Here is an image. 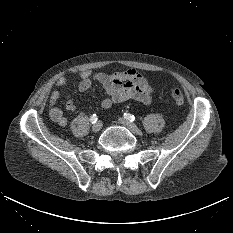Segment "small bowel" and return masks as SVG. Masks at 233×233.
<instances>
[{"mask_svg": "<svg viewBox=\"0 0 233 233\" xmlns=\"http://www.w3.org/2000/svg\"><path fill=\"white\" fill-rule=\"evenodd\" d=\"M80 81L78 89L81 92L87 91L93 82H98L106 91L105 97L100 106L103 109L110 108L115 103L124 102L127 100H135L143 104H149L152 99L153 87L148 80L137 70L131 68L125 71L104 73H93L89 70L78 73ZM68 85V80L65 77L58 78L55 86L62 88ZM61 97L60 90H54L49 96V116L52 121L60 126L67 124V118L63 110L56 105ZM65 110L72 113L76 110V106L72 101H67Z\"/></svg>", "mask_w": 233, "mask_h": 233, "instance_id": "1", "label": "small bowel"}]
</instances>
